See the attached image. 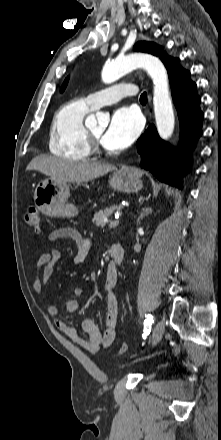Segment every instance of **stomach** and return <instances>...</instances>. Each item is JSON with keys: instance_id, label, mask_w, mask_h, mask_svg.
I'll use <instances>...</instances> for the list:
<instances>
[{"instance_id": "0dacf381", "label": "stomach", "mask_w": 221, "mask_h": 440, "mask_svg": "<svg viewBox=\"0 0 221 440\" xmlns=\"http://www.w3.org/2000/svg\"><path fill=\"white\" fill-rule=\"evenodd\" d=\"M114 190L126 193L138 192L143 184L139 175L131 167L124 166L116 170L109 179ZM69 185L66 182L47 178L41 180L34 191V202L37 208L49 217H72L77 215L75 205L68 203Z\"/></svg>"}]
</instances>
